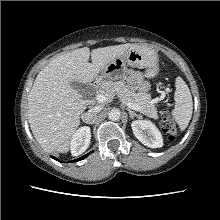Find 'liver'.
Instances as JSON below:
<instances>
[{"label":"liver","instance_id":"obj_1","mask_svg":"<svg viewBox=\"0 0 220 220\" xmlns=\"http://www.w3.org/2000/svg\"><path fill=\"white\" fill-rule=\"evenodd\" d=\"M134 44L93 49L83 47L62 54L37 75L28 96V119L34 137L47 152L66 153L90 100L72 87V82L89 83L112 60Z\"/></svg>","mask_w":220,"mask_h":220}]
</instances>
